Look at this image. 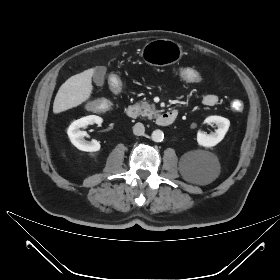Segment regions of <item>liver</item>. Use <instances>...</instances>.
Here are the masks:
<instances>
[{
	"label": "liver",
	"mask_w": 280,
	"mask_h": 280,
	"mask_svg": "<svg viewBox=\"0 0 280 280\" xmlns=\"http://www.w3.org/2000/svg\"><path fill=\"white\" fill-rule=\"evenodd\" d=\"M94 70L91 68L71 76L60 86L53 103L55 114L77 107L90 98Z\"/></svg>",
	"instance_id": "obj_1"
}]
</instances>
